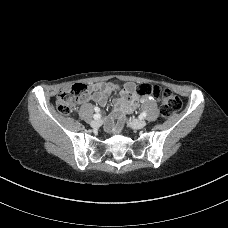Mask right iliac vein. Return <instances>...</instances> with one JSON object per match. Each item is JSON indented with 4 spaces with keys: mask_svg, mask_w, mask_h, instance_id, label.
I'll use <instances>...</instances> for the list:
<instances>
[{
    "mask_svg": "<svg viewBox=\"0 0 228 228\" xmlns=\"http://www.w3.org/2000/svg\"><path fill=\"white\" fill-rule=\"evenodd\" d=\"M101 120H99V119H96V120H93L91 123H90V125L92 126V127H94V128H96V127H99L100 125H101Z\"/></svg>",
    "mask_w": 228,
    "mask_h": 228,
    "instance_id": "63e3f726",
    "label": "right iliac vein"
}]
</instances>
